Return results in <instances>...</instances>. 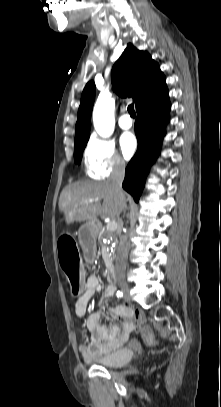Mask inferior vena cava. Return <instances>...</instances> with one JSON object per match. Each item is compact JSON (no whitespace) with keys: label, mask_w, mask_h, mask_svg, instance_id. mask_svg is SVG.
<instances>
[{"label":"inferior vena cava","mask_w":221,"mask_h":407,"mask_svg":"<svg viewBox=\"0 0 221 407\" xmlns=\"http://www.w3.org/2000/svg\"><path fill=\"white\" fill-rule=\"evenodd\" d=\"M125 174V163L123 161H116L113 171L107 180V183L114 189L119 201L122 205V211L126 208L125 195L122 189V182ZM119 246L117 248V256L115 260V272L118 275L124 273L126 269V262L128 257V245L125 236H119Z\"/></svg>","instance_id":"602c4592"}]
</instances>
